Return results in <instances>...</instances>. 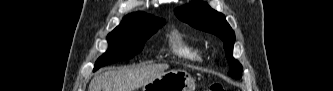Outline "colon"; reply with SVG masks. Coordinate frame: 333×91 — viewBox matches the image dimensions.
<instances>
[{
  "label": "colon",
  "instance_id": "obj_1",
  "mask_svg": "<svg viewBox=\"0 0 333 91\" xmlns=\"http://www.w3.org/2000/svg\"><path fill=\"white\" fill-rule=\"evenodd\" d=\"M207 91H225V88L222 83L214 82L208 86Z\"/></svg>",
  "mask_w": 333,
  "mask_h": 91
}]
</instances>
